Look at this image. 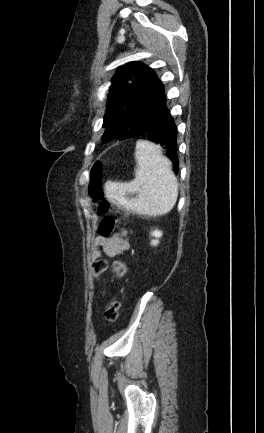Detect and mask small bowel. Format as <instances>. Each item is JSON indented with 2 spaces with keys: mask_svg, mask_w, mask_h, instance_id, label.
Instances as JSON below:
<instances>
[{
  "mask_svg": "<svg viewBox=\"0 0 264 433\" xmlns=\"http://www.w3.org/2000/svg\"><path fill=\"white\" fill-rule=\"evenodd\" d=\"M129 249V242L125 233L118 234L111 238L101 236L96 240V249L93 258L101 256L115 258Z\"/></svg>",
  "mask_w": 264,
  "mask_h": 433,
  "instance_id": "obj_1",
  "label": "small bowel"
}]
</instances>
